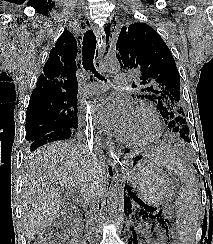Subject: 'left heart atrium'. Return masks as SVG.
<instances>
[{"label":"left heart atrium","mask_w":213,"mask_h":244,"mask_svg":"<svg viewBox=\"0 0 213 244\" xmlns=\"http://www.w3.org/2000/svg\"><path fill=\"white\" fill-rule=\"evenodd\" d=\"M88 110L97 126L117 133L124 129L132 115L129 107L114 97L95 98L89 103Z\"/></svg>","instance_id":"1"}]
</instances>
